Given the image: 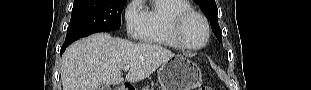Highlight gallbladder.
Returning <instances> with one entry per match:
<instances>
[{"mask_svg": "<svg viewBox=\"0 0 311 90\" xmlns=\"http://www.w3.org/2000/svg\"><path fill=\"white\" fill-rule=\"evenodd\" d=\"M98 90H110L109 85L101 84L98 88Z\"/></svg>", "mask_w": 311, "mask_h": 90, "instance_id": "gallbladder-1", "label": "gallbladder"}]
</instances>
